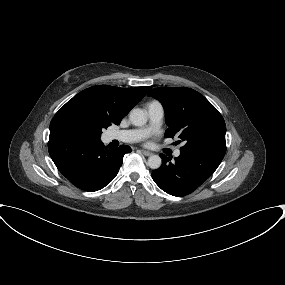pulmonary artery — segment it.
Instances as JSON below:
<instances>
[{
  "mask_svg": "<svg viewBox=\"0 0 285 285\" xmlns=\"http://www.w3.org/2000/svg\"><path fill=\"white\" fill-rule=\"evenodd\" d=\"M146 110L149 118V124L146 127L135 130L112 131L108 133L107 139L109 141L117 140L132 143L147 137L161 125L164 117V108L159 102L153 101L147 104ZM180 154L181 151L179 149L175 150L174 155L176 157L180 156Z\"/></svg>",
  "mask_w": 285,
  "mask_h": 285,
  "instance_id": "e3ab8cb5",
  "label": "pulmonary artery"
}]
</instances>
